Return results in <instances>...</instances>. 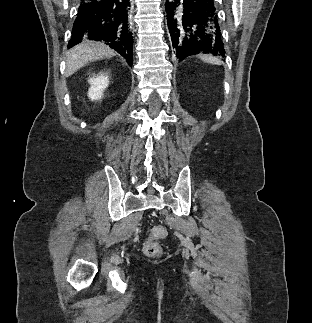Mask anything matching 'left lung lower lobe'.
Instances as JSON below:
<instances>
[{
    "label": "left lung lower lobe",
    "instance_id": "1",
    "mask_svg": "<svg viewBox=\"0 0 312 323\" xmlns=\"http://www.w3.org/2000/svg\"><path fill=\"white\" fill-rule=\"evenodd\" d=\"M165 9L170 43L178 59L199 53L224 57L215 0H174L166 2Z\"/></svg>",
    "mask_w": 312,
    "mask_h": 323
}]
</instances>
